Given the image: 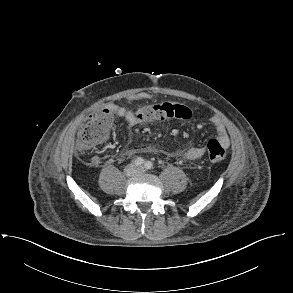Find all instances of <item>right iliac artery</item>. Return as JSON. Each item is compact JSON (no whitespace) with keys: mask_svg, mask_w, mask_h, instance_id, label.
<instances>
[{"mask_svg":"<svg viewBox=\"0 0 293 293\" xmlns=\"http://www.w3.org/2000/svg\"><path fill=\"white\" fill-rule=\"evenodd\" d=\"M144 162H145V161H144L143 158L138 157V158H136V159L133 161V164L136 165V166H141V165L144 164Z\"/></svg>","mask_w":293,"mask_h":293,"instance_id":"obj_1","label":"right iliac artery"}]
</instances>
